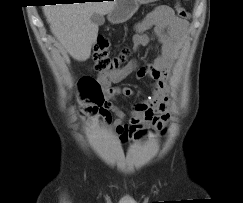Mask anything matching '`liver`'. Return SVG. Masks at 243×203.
<instances>
[{
  "label": "liver",
  "instance_id": "6515ba94",
  "mask_svg": "<svg viewBox=\"0 0 243 203\" xmlns=\"http://www.w3.org/2000/svg\"><path fill=\"white\" fill-rule=\"evenodd\" d=\"M113 1L45 5L43 8L52 33L69 54L78 61H86L95 44L98 26L92 23L94 13L108 14Z\"/></svg>",
  "mask_w": 243,
  "mask_h": 203
}]
</instances>
